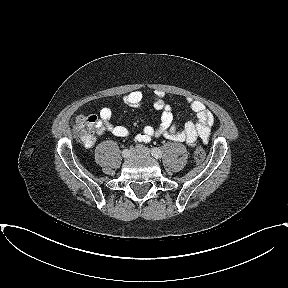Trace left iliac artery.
<instances>
[{"label": "left iliac artery", "instance_id": "left-iliac-artery-1", "mask_svg": "<svg viewBox=\"0 0 288 288\" xmlns=\"http://www.w3.org/2000/svg\"><path fill=\"white\" fill-rule=\"evenodd\" d=\"M152 156H154L156 159H159L162 157V152L159 148H153L151 151Z\"/></svg>", "mask_w": 288, "mask_h": 288}]
</instances>
